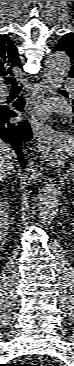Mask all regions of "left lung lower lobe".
Returning a JSON list of instances; mask_svg holds the SVG:
<instances>
[{"mask_svg": "<svg viewBox=\"0 0 74 366\" xmlns=\"http://www.w3.org/2000/svg\"><path fill=\"white\" fill-rule=\"evenodd\" d=\"M65 97H68V94L67 93H64L63 94ZM72 104H73V112H74V99L72 100ZM73 123H74V117H73Z\"/></svg>", "mask_w": 74, "mask_h": 366, "instance_id": "obj_1", "label": "left lung lower lobe"}]
</instances>
